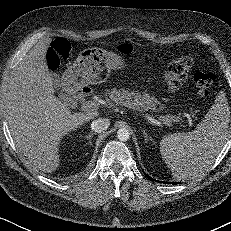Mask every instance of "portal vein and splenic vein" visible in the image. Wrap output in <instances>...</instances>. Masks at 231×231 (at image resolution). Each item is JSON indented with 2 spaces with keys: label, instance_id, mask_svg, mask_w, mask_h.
<instances>
[{
  "label": "portal vein and splenic vein",
  "instance_id": "18ae733b",
  "mask_svg": "<svg viewBox=\"0 0 231 231\" xmlns=\"http://www.w3.org/2000/svg\"><path fill=\"white\" fill-rule=\"evenodd\" d=\"M81 108L86 111H93L98 108V103L95 101H87L81 105ZM180 120H181V117L177 116V117H171L170 120L162 119L161 121H162V124L169 125V122L180 121ZM155 123L159 124L161 122H159L158 120H155Z\"/></svg>",
  "mask_w": 231,
  "mask_h": 231
}]
</instances>
